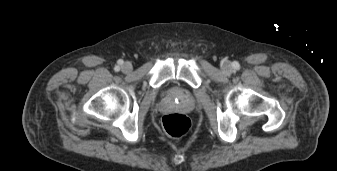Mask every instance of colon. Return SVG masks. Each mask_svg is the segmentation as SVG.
Returning a JSON list of instances; mask_svg holds the SVG:
<instances>
[{
	"mask_svg": "<svg viewBox=\"0 0 337 171\" xmlns=\"http://www.w3.org/2000/svg\"><path fill=\"white\" fill-rule=\"evenodd\" d=\"M162 125L165 132L174 138L186 136L191 128L192 122L189 117L183 114L170 113L163 117Z\"/></svg>",
	"mask_w": 337,
	"mask_h": 171,
	"instance_id": "colon-1",
	"label": "colon"
}]
</instances>
